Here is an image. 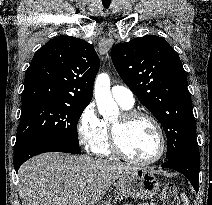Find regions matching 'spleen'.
Wrapping results in <instances>:
<instances>
[{"instance_id":"3e777b00","label":"spleen","mask_w":212,"mask_h":205,"mask_svg":"<svg viewBox=\"0 0 212 205\" xmlns=\"http://www.w3.org/2000/svg\"><path fill=\"white\" fill-rule=\"evenodd\" d=\"M181 198H182L184 205H189V199L187 198V196L185 194H181Z\"/></svg>"}]
</instances>
